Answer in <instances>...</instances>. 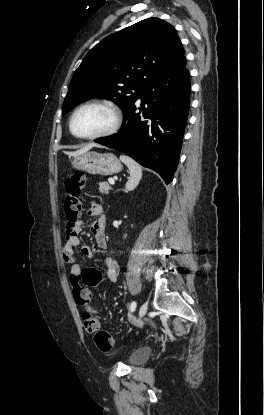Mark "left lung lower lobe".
<instances>
[{
  "mask_svg": "<svg viewBox=\"0 0 264 415\" xmlns=\"http://www.w3.org/2000/svg\"><path fill=\"white\" fill-rule=\"evenodd\" d=\"M137 100L123 112L122 129L95 142L123 152L169 184L178 165L190 106L186 58L147 84Z\"/></svg>",
  "mask_w": 264,
  "mask_h": 415,
  "instance_id": "1",
  "label": "left lung lower lobe"
}]
</instances>
